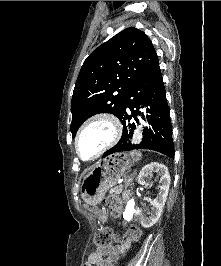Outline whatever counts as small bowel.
Wrapping results in <instances>:
<instances>
[{"instance_id": "c3829d8e", "label": "small bowel", "mask_w": 221, "mask_h": 266, "mask_svg": "<svg viewBox=\"0 0 221 266\" xmlns=\"http://www.w3.org/2000/svg\"><path fill=\"white\" fill-rule=\"evenodd\" d=\"M131 244L128 238H123L116 245L98 249L88 256L84 266H115L119 257L130 248Z\"/></svg>"}]
</instances>
